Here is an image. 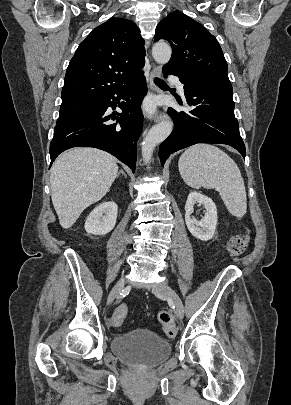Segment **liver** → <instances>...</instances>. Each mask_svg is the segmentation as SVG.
<instances>
[{
  "instance_id": "1",
  "label": "liver",
  "mask_w": 291,
  "mask_h": 405,
  "mask_svg": "<svg viewBox=\"0 0 291 405\" xmlns=\"http://www.w3.org/2000/svg\"><path fill=\"white\" fill-rule=\"evenodd\" d=\"M118 173L116 159L99 149L62 153L50 174L51 198L60 225L69 229L85 208L102 199Z\"/></svg>"
}]
</instances>
